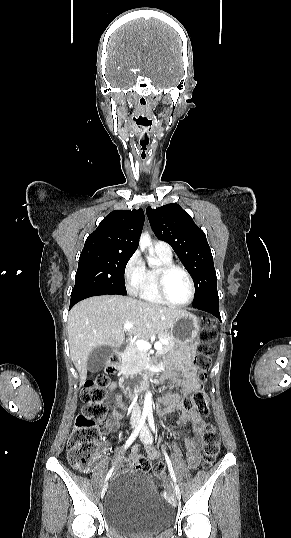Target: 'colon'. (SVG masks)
Returning a JSON list of instances; mask_svg holds the SVG:
<instances>
[{"label":"colon","mask_w":291,"mask_h":538,"mask_svg":"<svg viewBox=\"0 0 291 538\" xmlns=\"http://www.w3.org/2000/svg\"><path fill=\"white\" fill-rule=\"evenodd\" d=\"M202 330L200 338L202 344L197 347V355L193 360L197 378L204 382L211 367L212 347L208 344L215 336V329L212 320L205 318L201 322ZM119 367V356L112 355L107 363L105 372L92 375L85 384L82 393L83 407L76 418L73 433L68 444V459L71 465L79 471H89L99 456L98 446L103 432H108L110 426L105 417L107 406L105 404L106 388L110 384V376ZM208 395L204 390H199L184 403L186 411L207 415ZM220 449V437L214 425L209 424L205 430L203 439V465L209 468L216 459ZM137 468L142 471H149L152 468L151 462L146 458H141L137 462ZM155 474L165 480L164 466L162 463L154 465Z\"/></svg>","instance_id":"5ec220e1"}]
</instances>
